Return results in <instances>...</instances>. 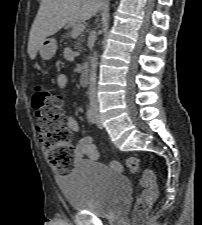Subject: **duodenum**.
Listing matches in <instances>:
<instances>
[{
    "instance_id": "410a0bca",
    "label": "duodenum",
    "mask_w": 202,
    "mask_h": 225,
    "mask_svg": "<svg viewBox=\"0 0 202 225\" xmlns=\"http://www.w3.org/2000/svg\"><path fill=\"white\" fill-rule=\"evenodd\" d=\"M81 81L83 84H88L90 81V71L88 64H84L81 69Z\"/></svg>"
}]
</instances>
